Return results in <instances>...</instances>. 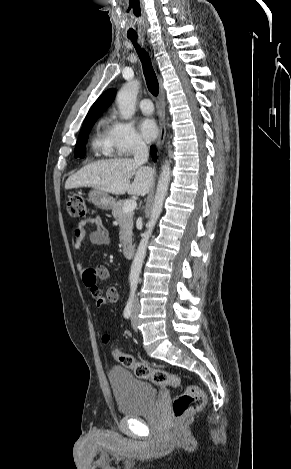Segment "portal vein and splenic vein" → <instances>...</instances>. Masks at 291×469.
<instances>
[{
  "label": "portal vein and splenic vein",
  "instance_id": "portal-vein-and-splenic-vein-1",
  "mask_svg": "<svg viewBox=\"0 0 291 469\" xmlns=\"http://www.w3.org/2000/svg\"><path fill=\"white\" fill-rule=\"evenodd\" d=\"M137 206V203L135 200H128L123 206V212H131L133 211Z\"/></svg>",
  "mask_w": 291,
  "mask_h": 469
}]
</instances>
